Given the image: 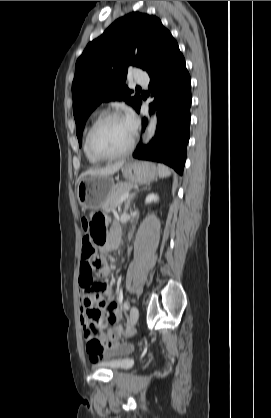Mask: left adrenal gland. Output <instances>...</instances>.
<instances>
[{
    "mask_svg": "<svg viewBox=\"0 0 271 418\" xmlns=\"http://www.w3.org/2000/svg\"><path fill=\"white\" fill-rule=\"evenodd\" d=\"M147 189V187H145L144 188V190H146ZM139 190H136L135 192H133L130 196H129V198L127 199V201H126V203H125V209H124V211L126 212L128 209H129V207H130V205H131V202L133 201V199L135 198V196H136V193L138 192Z\"/></svg>",
    "mask_w": 271,
    "mask_h": 418,
    "instance_id": "left-adrenal-gland-1",
    "label": "left adrenal gland"
}]
</instances>
